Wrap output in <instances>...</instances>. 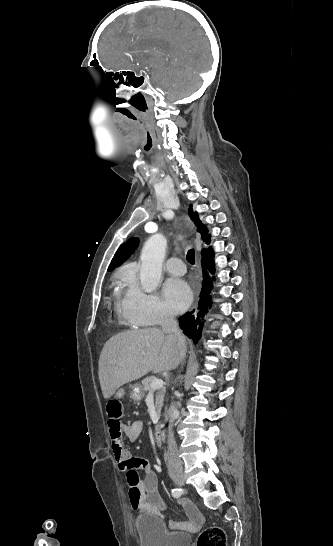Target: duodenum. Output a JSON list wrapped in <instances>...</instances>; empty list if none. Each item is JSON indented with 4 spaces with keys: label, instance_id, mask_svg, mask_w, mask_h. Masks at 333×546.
<instances>
[{
    "label": "duodenum",
    "instance_id": "410a0bca",
    "mask_svg": "<svg viewBox=\"0 0 333 546\" xmlns=\"http://www.w3.org/2000/svg\"><path fill=\"white\" fill-rule=\"evenodd\" d=\"M153 438L157 445H161L163 441L162 428L161 426H155L153 430Z\"/></svg>",
    "mask_w": 333,
    "mask_h": 546
}]
</instances>
